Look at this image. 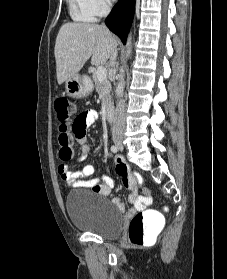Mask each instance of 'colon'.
I'll return each instance as SVG.
<instances>
[{"label": "colon", "mask_w": 227, "mask_h": 279, "mask_svg": "<svg viewBox=\"0 0 227 279\" xmlns=\"http://www.w3.org/2000/svg\"><path fill=\"white\" fill-rule=\"evenodd\" d=\"M58 123L57 144L61 159L67 160L73 155L72 135L85 131L86 114L74 117L73 105L66 98L56 99L54 102ZM119 173L126 172L125 166H119ZM135 183L141 184V180L134 178ZM97 188V186H95ZM162 217L157 212L144 210L136 213L130 223L129 240L132 245H140L149 241L160 230Z\"/></svg>", "instance_id": "obj_1"}]
</instances>
